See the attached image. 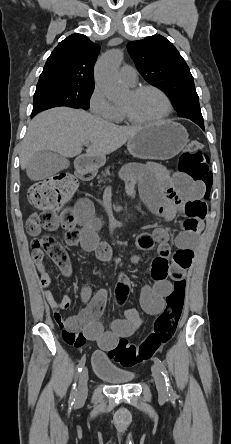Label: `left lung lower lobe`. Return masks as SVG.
I'll list each match as a JSON object with an SVG mask.
<instances>
[{"instance_id":"obj_1","label":"left lung lower lobe","mask_w":231,"mask_h":444,"mask_svg":"<svg viewBox=\"0 0 231 444\" xmlns=\"http://www.w3.org/2000/svg\"><path fill=\"white\" fill-rule=\"evenodd\" d=\"M196 124H198L201 127L202 130H204V123L197 122Z\"/></svg>"}]
</instances>
